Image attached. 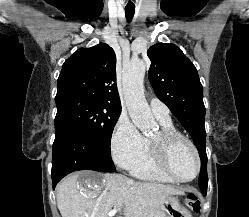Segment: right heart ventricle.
<instances>
[{
  "label": "right heart ventricle",
  "instance_id": "e07e8e85",
  "mask_svg": "<svg viewBox=\"0 0 249 217\" xmlns=\"http://www.w3.org/2000/svg\"><path fill=\"white\" fill-rule=\"evenodd\" d=\"M158 121L160 125L162 126V129L175 130L171 120L170 121L158 120ZM129 169L133 176L140 178V179L155 181V182H162V183L176 182L170 177H168L159 168L154 158L153 152H152L151 140L147 138L144 139V146H143L141 153L136 158V160L132 163Z\"/></svg>",
  "mask_w": 249,
  "mask_h": 217
}]
</instances>
